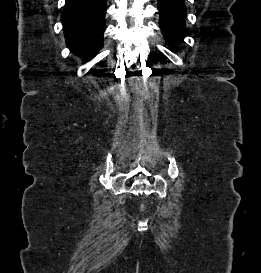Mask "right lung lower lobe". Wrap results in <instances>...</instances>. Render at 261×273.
Masks as SVG:
<instances>
[{
    "instance_id": "1",
    "label": "right lung lower lobe",
    "mask_w": 261,
    "mask_h": 273,
    "mask_svg": "<svg viewBox=\"0 0 261 273\" xmlns=\"http://www.w3.org/2000/svg\"><path fill=\"white\" fill-rule=\"evenodd\" d=\"M106 0H65L61 16L67 46L89 60L103 46Z\"/></svg>"
}]
</instances>
